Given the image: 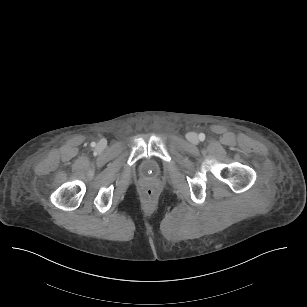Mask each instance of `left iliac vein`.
<instances>
[{
	"instance_id": "left-iliac-vein-1",
	"label": "left iliac vein",
	"mask_w": 307,
	"mask_h": 307,
	"mask_svg": "<svg viewBox=\"0 0 307 307\" xmlns=\"http://www.w3.org/2000/svg\"><path fill=\"white\" fill-rule=\"evenodd\" d=\"M190 142L197 143L198 142V136L195 133H191L189 137Z\"/></svg>"
}]
</instances>
